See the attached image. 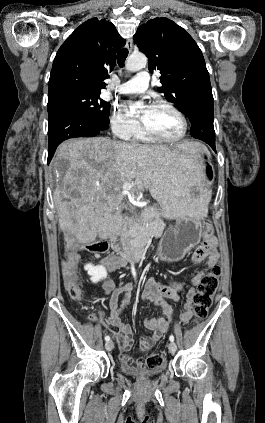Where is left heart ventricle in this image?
Segmentation results:
<instances>
[{
	"mask_svg": "<svg viewBox=\"0 0 265 423\" xmlns=\"http://www.w3.org/2000/svg\"><path fill=\"white\" fill-rule=\"evenodd\" d=\"M140 120L153 132L167 138L178 137L182 132L180 118L165 107H146L140 115Z\"/></svg>",
	"mask_w": 265,
	"mask_h": 423,
	"instance_id": "b2bd125f",
	"label": "left heart ventricle"
}]
</instances>
